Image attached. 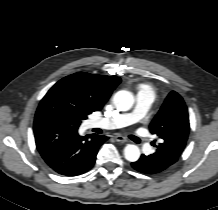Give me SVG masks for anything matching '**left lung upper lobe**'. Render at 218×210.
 Returning a JSON list of instances; mask_svg holds the SVG:
<instances>
[{
  "label": "left lung upper lobe",
  "mask_w": 218,
  "mask_h": 210,
  "mask_svg": "<svg viewBox=\"0 0 218 210\" xmlns=\"http://www.w3.org/2000/svg\"><path fill=\"white\" fill-rule=\"evenodd\" d=\"M189 130L187 107L182 97L172 91L150 124L151 133L161 139L157 150L178 159L185 148Z\"/></svg>",
  "instance_id": "1"
}]
</instances>
